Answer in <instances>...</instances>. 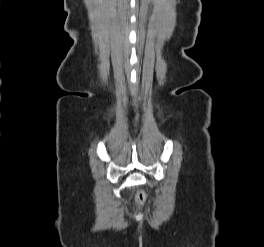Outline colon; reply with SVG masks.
<instances>
[{"label":"colon","mask_w":264,"mask_h":247,"mask_svg":"<svg viewBox=\"0 0 264 247\" xmlns=\"http://www.w3.org/2000/svg\"><path fill=\"white\" fill-rule=\"evenodd\" d=\"M136 200L139 204L143 205L147 200L145 192L141 191L140 193H138Z\"/></svg>","instance_id":"colon-1"}]
</instances>
